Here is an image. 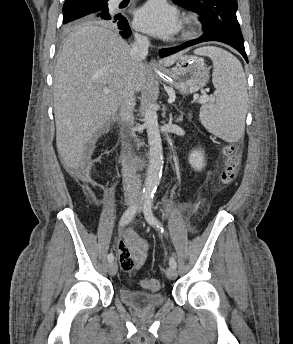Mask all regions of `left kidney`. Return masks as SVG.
<instances>
[{
    "mask_svg": "<svg viewBox=\"0 0 293 344\" xmlns=\"http://www.w3.org/2000/svg\"><path fill=\"white\" fill-rule=\"evenodd\" d=\"M189 163L196 171H201L205 167L204 151L201 149L193 150L189 154Z\"/></svg>",
    "mask_w": 293,
    "mask_h": 344,
    "instance_id": "1",
    "label": "left kidney"
}]
</instances>
